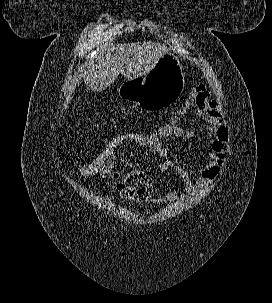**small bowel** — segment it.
Wrapping results in <instances>:
<instances>
[{"label":"small bowel","instance_id":"c3829d8e","mask_svg":"<svg viewBox=\"0 0 272 303\" xmlns=\"http://www.w3.org/2000/svg\"><path fill=\"white\" fill-rule=\"evenodd\" d=\"M188 108H192L196 115L201 117L207 124L209 151L205 163L197 170L195 175H191L185 168L172 163L169 158V150L163 142L140 144L138 147L146 149L159 157L158 168L161 171L175 169L181 178L184 188L182 194L179 193V188L175 187L163 197L151 198L150 200L153 203H170L189 198L218 176L220 168L227 157L228 129L224 124L220 108L215 101L210 99L208 92L203 86H198L191 91L183 110L180 112L183 113ZM173 136L187 140L194 136V132L191 129L181 127ZM142 173L144 172L139 170L122 173L115 169L101 177L113 180L117 191L124 196H128L140 184Z\"/></svg>","mask_w":272,"mask_h":303}]
</instances>
